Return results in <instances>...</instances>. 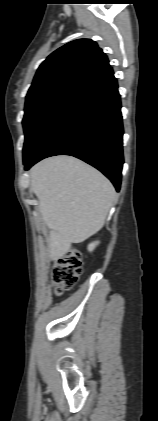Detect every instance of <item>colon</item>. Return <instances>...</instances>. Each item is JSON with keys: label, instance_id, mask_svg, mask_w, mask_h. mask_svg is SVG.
Segmentation results:
<instances>
[{"label": "colon", "instance_id": "obj_1", "mask_svg": "<svg viewBox=\"0 0 158 421\" xmlns=\"http://www.w3.org/2000/svg\"><path fill=\"white\" fill-rule=\"evenodd\" d=\"M82 268L80 253L74 249L67 251L56 261L53 268V282L58 295L75 286Z\"/></svg>", "mask_w": 158, "mask_h": 421}]
</instances>
